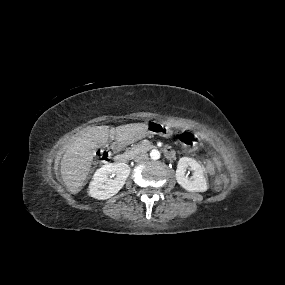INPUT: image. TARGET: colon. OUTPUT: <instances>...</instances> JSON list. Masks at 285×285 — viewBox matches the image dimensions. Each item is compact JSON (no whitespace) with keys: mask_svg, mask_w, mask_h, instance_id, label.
<instances>
[{"mask_svg":"<svg viewBox=\"0 0 285 285\" xmlns=\"http://www.w3.org/2000/svg\"><path fill=\"white\" fill-rule=\"evenodd\" d=\"M179 139L183 142L186 148H197L200 145V140L194 137L188 131H182L179 134ZM102 155V153L100 154ZM228 183V176L225 174H219L215 177L214 187L216 189L223 188Z\"/></svg>","mask_w":285,"mask_h":285,"instance_id":"obj_1","label":"colon"}]
</instances>
